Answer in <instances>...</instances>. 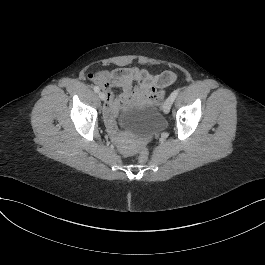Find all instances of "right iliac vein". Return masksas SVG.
Wrapping results in <instances>:
<instances>
[{
    "mask_svg": "<svg viewBox=\"0 0 265 265\" xmlns=\"http://www.w3.org/2000/svg\"><path fill=\"white\" fill-rule=\"evenodd\" d=\"M98 96H99V98H100L102 101H104L105 98H106V96H105V94H104L103 92H99Z\"/></svg>",
    "mask_w": 265,
    "mask_h": 265,
    "instance_id": "1",
    "label": "right iliac vein"
}]
</instances>
